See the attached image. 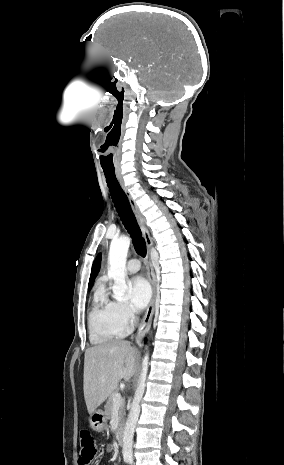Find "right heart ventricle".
<instances>
[{
	"mask_svg": "<svg viewBox=\"0 0 284 465\" xmlns=\"http://www.w3.org/2000/svg\"><path fill=\"white\" fill-rule=\"evenodd\" d=\"M88 330L91 342L98 346H105L118 340L125 333L124 326L121 325L117 317L114 304L101 292L94 296L89 309Z\"/></svg>",
	"mask_w": 284,
	"mask_h": 465,
	"instance_id": "obj_1",
	"label": "right heart ventricle"
}]
</instances>
